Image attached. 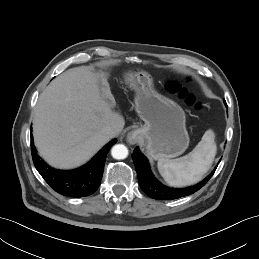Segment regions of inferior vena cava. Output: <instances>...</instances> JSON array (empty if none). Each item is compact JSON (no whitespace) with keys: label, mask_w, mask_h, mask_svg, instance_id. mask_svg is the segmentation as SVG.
<instances>
[{"label":"inferior vena cava","mask_w":259,"mask_h":259,"mask_svg":"<svg viewBox=\"0 0 259 259\" xmlns=\"http://www.w3.org/2000/svg\"><path fill=\"white\" fill-rule=\"evenodd\" d=\"M103 132L110 138L116 136L118 134V130L116 127L114 126H106L104 129H103Z\"/></svg>","instance_id":"1"}]
</instances>
